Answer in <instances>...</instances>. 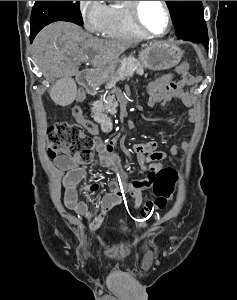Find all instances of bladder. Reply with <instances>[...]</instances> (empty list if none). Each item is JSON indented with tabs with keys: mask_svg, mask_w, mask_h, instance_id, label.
Listing matches in <instances>:
<instances>
[{
	"mask_svg": "<svg viewBox=\"0 0 237 300\" xmlns=\"http://www.w3.org/2000/svg\"><path fill=\"white\" fill-rule=\"evenodd\" d=\"M116 233H117L118 235L126 236V235H129L130 230H129V228H128L126 225H119V226L116 228Z\"/></svg>",
	"mask_w": 237,
	"mask_h": 300,
	"instance_id": "1",
	"label": "bladder"
}]
</instances>
